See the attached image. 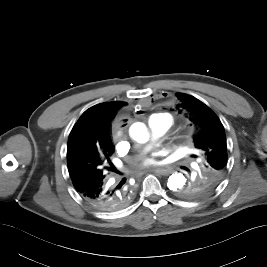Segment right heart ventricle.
Listing matches in <instances>:
<instances>
[{
  "mask_svg": "<svg viewBox=\"0 0 267 267\" xmlns=\"http://www.w3.org/2000/svg\"><path fill=\"white\" fill-rule=\"evenodd\" d=\"M159 115H161V114H156V115H154V116H152V117H157V116H159ZM152 117H151V118H152Z\"/></svg>",
  "mask_w": 267,
  "mask_h": 267,
  "instance_id": "right-heart-ventricle-1",
  "label": "right heart ventricle"
}]
</instances>
